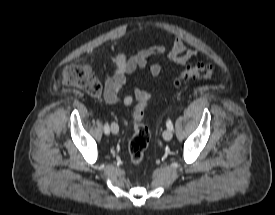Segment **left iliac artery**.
<instances>
[{"mask_svg": "<svg viewBox=\"0 0 275 215\" xmlns=\"http://www.w3.org/2000/svg\"><path fill=\"white\" fill-rule=\"evenodd\" d=\"M166 125H167V128H168V129L173 130V124H172L171 120H167Z\"/></svg>", "mask_w": 275, "mask_h": 215, "instance_id": "1", "label": "left iliac artery"}]
</instances>
